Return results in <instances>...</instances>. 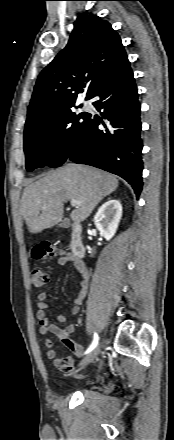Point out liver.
Masks as SVG:
<instances>
[{
  "label": "liver",
  "instance_id": "liver-1",
  "mask_svg": "<svg viewBox=\"0 0 174 440\" xmlns=\"http://www.w3.org/2000/svg\"><path fill=\"white\" fill-rule=\"evenodd\" d=\"M118 187V179L84 165L68 164L29 184L21 199V214L30 233H39L59 223L64 203L77 200L71 212L74 223L84 221L97 204Z\"/></svg>",
  "mask_w": 174,
  "mask_h": 440
}]
</instances>
